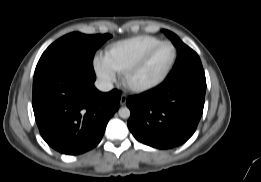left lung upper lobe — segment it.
<instances>
[{"label":"left lung upper lobe","instance_id":"1","mask_svg":"<svg viewBox=\"0 0 261 182\" xmlns=\"http://www.w3.org/2000/svg\"><path fill=\"white\" fill-rule=\"evenodd\" d=\"M163 32L177 47V59L173 69L162 85L175 82L190 75L204 73L202 63L197 53L185 45L174 33L168 30H163Z\"/></svg>","mask_w":261,"mask_h":182}]
</instances>
